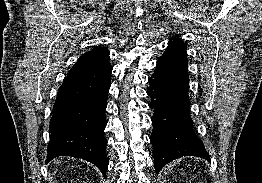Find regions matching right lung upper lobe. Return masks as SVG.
Segmentation results:
<instances>
[{
  "instance_id": "1",
  "label": "right lung upper lobe",
  "mask_w": 262,
  "mask_h": 183,
  "mask_svg": "<svg viewBox=\"0 0 262 183\" xmlns=\"http://www.w3.org/2000/svg\"><path fill=\"white\" fill-rule=\"evenodd\" d=\"M106 63H109V51L103 47H97L83 54L75 65H103Z\"/></svg>"
}]
</instances>
